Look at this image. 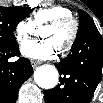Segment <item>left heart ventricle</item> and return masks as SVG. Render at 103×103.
Segmentation results:
<instances>
[{
  "mask_svg": "<svg viewBox=\"0 0 103 103\" xmlns=\"http://www.w3.org/2000/svg\"><path fill=\"white\" fill-rule=\"evenodd\" d=\"M69 35V27L58 29L46 26L41 32V37L44 39H51L57 48H60L67 41Z\"/></svg>",
  "mask_w": 103,
  "mask_h": 103,
  "instance_id": "left-heart-ventricle-1",
  "label": "left heart ventricle"
}]
</instances>
